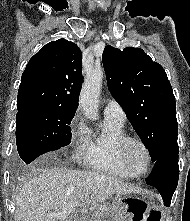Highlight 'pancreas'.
Returning a JSON list of instances; mask_svg holds the SVG:
<instances>
[{"mask_svg": "<svg viewBox=\"0 0 190 221\" xmlns=\"http://www.w3.org/2000/svg\"><path fill=\"white\" fill-rule=\"evenodd\" d=\"M119 209V205L116 204V203H112L110 205V210L112 212H117ZM100 217H101V214L98 213V211L96 212V214L92 215V217L90 218V221H100Z\"/></svg>", "mask_w": 190, "mask_h": 221, "instance_id": "pancreas-1", "label": "pancreas"}]
</instances>
